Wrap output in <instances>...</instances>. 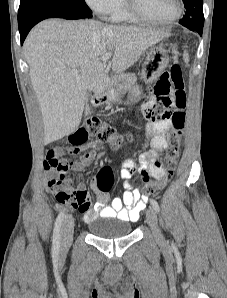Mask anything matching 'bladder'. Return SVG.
<instances>
[{"instance_id": "obj_1", "label": "bladder", "mask_w": 227, "mask_h": 298, "mask_svg": "<svg viewBox=\"0 0 227 298\" xmlns=\"http://www.w3.org/2000/svg\"><path fill=\"white\" fill-rule=\"evenodd\" d=\"M90 232L102 239H117L128 236L132 231L131 223L125 220H105L97 218L88 223Z\"/></svg>"}]
</instances>
